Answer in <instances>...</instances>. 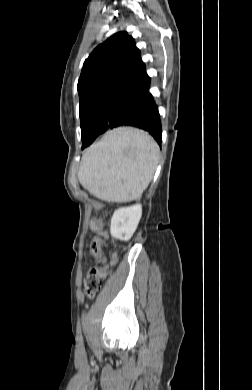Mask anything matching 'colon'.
Segmentation results:
<instances>
[{"mask_svg": "<svg viewBox=\"0 0 252 390\" xmlns=\"http://www.w3.org/2000/svg\"><path fill=\"white\" fill-rule=\"evenodd\" d=\"M104 221L97 220L98 236L91 243V251L94 256H100L103 247L106 245L107 235L104 231ZM112 263L116 262V254L112 255ZM106 277V267H93L89 270L85 280V293L92 297L100 289L102 280Z\"/></svg>", "mask_w": 252, "mask_h": 390, "instance_id": "5ec220e1", "label": "colon"}]
</instances>
